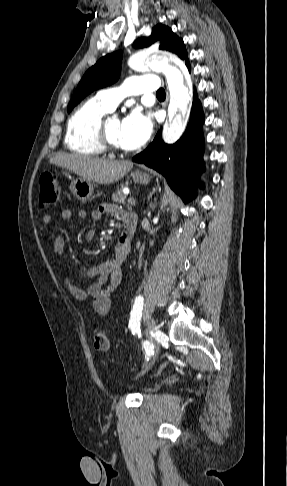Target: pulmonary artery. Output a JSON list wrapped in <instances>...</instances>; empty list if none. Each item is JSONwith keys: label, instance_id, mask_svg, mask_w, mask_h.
Returning <instances> with one entry per match:
<instances>
[{"label": "pulmonary artery", "instance_id": "1", "mask_svg": "<svg viewBox=\"0 0 287 486\" xmlns=\"http://www.w3.org/2000/svg\"><path fill=\"white\" fill-rule=\"evenodd\" d=\"M159 87V79L155 75L131 77L128 78L120 87L100 90L96 94L95 98L105 107L113 110L124 97L156 92Z\"/></svg>", "mask_w": 287, "mask_h": 486}]
</instances>
